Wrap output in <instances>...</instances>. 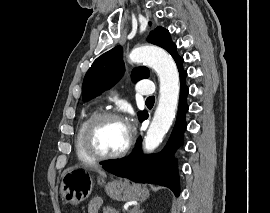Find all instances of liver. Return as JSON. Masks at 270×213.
<instances>
[{
	"mask_svg": "<svg viewBox=\"0 0 270 213\" xmlns=\"http://www.w3.org/2000/svg\"><path fill=\"white\" fill-rule=\"evenodd\" d=\"M93 169L98 172L101 176H106V173L102 171L98 166H94Z\"/></svg>",
	"mask_w": 270,
	"mask_h": 213,
	"instance_id": "1",
	"label": "liver"
}]
</instances>
